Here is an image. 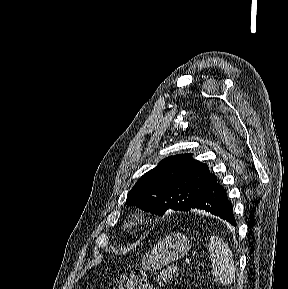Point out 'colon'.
<instances>
[{
  "mask_svg": "<svg viewBox=\"0 0 288 289\" xmlns=\"http://www.w3.org/2000/svg\"><path fill=\"white\" fill-rule=\"evenodd\" d=\"M110 289H154L148 281L147 274L142 269H135L128 275L120 276Z\"/></svg>",
  "mask_w": 288,
  "mask_h": 289,
  "instance_id": "obj_1",
  "label": "colon"
}]
</instances>
